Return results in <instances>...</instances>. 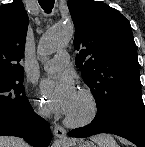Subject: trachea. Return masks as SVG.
<instances>
[{"mask_svg":"<svg viewBox=\"0 0 145 147\" xmlns=\"http://www.w3.org/2000/svg\"><path fill=\"white\" fill-rule=\"evenodd\" d=\"M55 0H39L40 6L45 10V12L50 13L54 6Z\"/></svg>","mask_w":145,"mask_h":147,"instance_id":"1","label":"trachea"}]
</instances>
